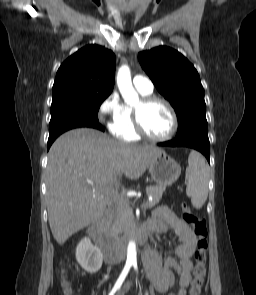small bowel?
Wrapping results in <instances>:
<instances>
[{
	"label": "small bowel",
	"instance_id": "1",
	"mask_svg": "<svg viewBox=\"0 0 256 295\" xmlns=\"http://www.w3.org/2000/svg\"><path fill=\"white\" fill-rule=\"evenodd\" d=\"M147 227L149 232L160 236L172 229L180 240L176 254L180 261L173 257L162 260L161 250L158 246L148 247L143 254V267L148 282L160 293L168 295H186L192 269L191 257L195 251L196 237L190 227L166 206L154 210ZM177 283L178 289L173 290ZM126 285L119 295H126L131 289Z\"/></svg>",
	"mask_w": 256,
	"mask_h": 295
}]
</instances>
